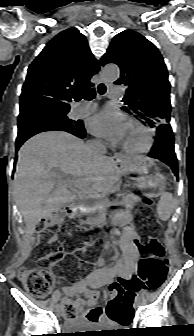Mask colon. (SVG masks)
<instances>
[{
  "label": "colon",
  "mask_w": 194,
  "mask_h": 336,
  "mask_svg": "<svg viewBox=\"0 0 194 336\" xmlns=\"http://www.w3.org/2000/svg\"><path fill=\"white\" fill-rule=\"evenodd\" d=\"M152 207V199L144 197L143 207L137 216V225L141 232L136 240L140 255L138 274L136 279L113 282L110 285L111 293L117 298L131 295L133 291L130 285L135 283L145 285L151 290L157 289L166 277L168 260L164 259V248L156 239L161 231V224L151 215ZM70 229L62 212H55L44 219L37 229L40 258L51 259L57 266L66 250L69 253L82 252L87 259H93L100 247V242L88 245L72 242ZM63 244L66 245L65 249ZM18 278L24 289L37 298L47 297L54 282V275L46 266L23 268ZM76 304V297L66 299L64 302L66 312L72 314ZM114 313V309L111 308L109 316L114 318Z\"/></svg>",
  "instance_id": "1"
}]
</instances>
